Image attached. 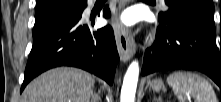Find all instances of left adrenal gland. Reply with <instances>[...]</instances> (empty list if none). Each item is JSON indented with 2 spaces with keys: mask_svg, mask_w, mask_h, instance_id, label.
<instances>
[{
  "mask_svg": "<svg viewBox=\"0 0 221 102\" xmlns=\"http://www.w3.org/2000/svg\"><path fill=\"white\" fill-rule=\"evenodd\" d=\"M154 101L155 102H162V99L159 97V98H156Z\"/></svg>",
  "mask_w": 221,
  "mask_h": 102,
  "instance_id": "obj_1",
  "label": "left adrenal gland"
}]
</instances>
